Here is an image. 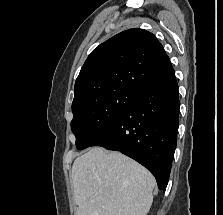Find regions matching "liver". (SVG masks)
I'll list each match as a JSON object with an SVG mask.
<instances>
[{
	"mask_svg": "<svg viewBox=\"0 0 223 215\" xmlns=\"http://www.w3.org/2000/svg\"><path fill=\"white\" fill-rule=\"evenodd\" d=\"M76 215H146L155 177L119 151L91 147L72 165Z\"/></svg>",
	"mask_w": 223,
	"mask_h": 215,
	"instance_id": "liver-1",
	"label": "liver"
}]
</instances>
